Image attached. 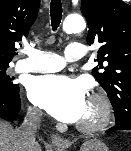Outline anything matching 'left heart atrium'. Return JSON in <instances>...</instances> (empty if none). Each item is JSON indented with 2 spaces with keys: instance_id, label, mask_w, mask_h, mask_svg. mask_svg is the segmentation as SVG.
I'll list each match as a JSON object with an SVG mask.
<instances>
[{
  "instance_id": "left-heart-atrium-1",
  "label": "left heart atrium",
  "mask_w": 131,
  "mask_h": 151,
  "mask_svg": "<svg viewBox=\"0 0 131 151\" xmlns=\"http://www.w3.org/2000/svg\"><path fill=\"white\" fill-rule=\"evenodd\" d=\"M31 102L56 119L74 123L81 119L86 107L84 84L63 75L34 77L27 86Z\"/></svg>"
}]
</instances>
